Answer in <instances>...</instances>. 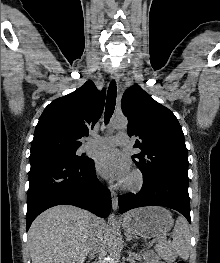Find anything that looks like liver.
<instances>
[{"instance_id":"6515ba94","label":"liver","mask_w":220,"mask_h":263,"mask_svg":"<svg viewBox=\"0 0 220 263\" xmlns=\"http://www.w3.org/2000/svg\"><path fill=\"white\" fill-rule=\"evenodd\" d=\"M104 221L86 210L61 205L41 213L28 232L32 263H84L92 228Z\"/></svg>"}]
</instances>
